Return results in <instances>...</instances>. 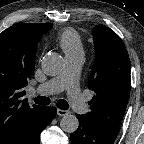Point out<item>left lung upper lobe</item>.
<instances>
[{"label":"left lung upper lobe","instance_id":"obj_1","mask_svg":"<svg viewBox=\"0 0 144 144\" xmlns=\"http://www.w3.org/2000/svg\"><path fill=\"white\" fill-rule=\"evenodd\" d=\"M95 62L88 88L95 92L91 111L83 116L94 126L118 133L129 99L130 61L121 38L111 29L97 25L93 30Z\"/></svg>","mask_w":144,"mask_h":144}]
</instances>
